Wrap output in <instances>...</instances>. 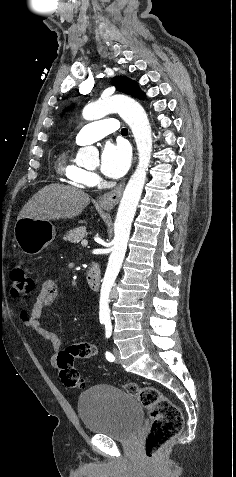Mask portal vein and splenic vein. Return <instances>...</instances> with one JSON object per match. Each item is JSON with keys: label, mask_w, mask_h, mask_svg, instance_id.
<instances>
[{"label": "portal vein and splenic vein", "mask_w": 236, "mask_h": 477, "mask_svg": "<svg viewBox=\"0 0 236 477\" xmlns=\"http://www.w3.org/2000/svg\"><path fill=\"white\" fill-rule=\"evenodd\" d=\"M81 245H82V246H87V245H88V241H87L86 239L82 240Z\"/></svg>", "instance_id": "18ae733b"}]
</instances>
